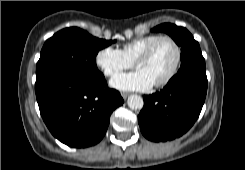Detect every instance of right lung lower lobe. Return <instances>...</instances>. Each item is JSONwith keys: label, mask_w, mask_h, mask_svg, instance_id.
<instances>
[{"label": "right lung lower lobe", "mask_w": 245, "mask_h": 170, "mask_svg": "<svg viewBox=\"0 0 245 170\" xmlns=\"http://www.w3.org/2000/svg\"><path fill=\"white\" fill-rule=\"evenodd\" d=\"M36 90L41 116L52 135L75 148L97 144L105 135L111 113L123 104L102 73L66 75Z\"/></svg>", "instance_id": "1"}]
</instances>
